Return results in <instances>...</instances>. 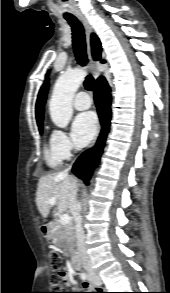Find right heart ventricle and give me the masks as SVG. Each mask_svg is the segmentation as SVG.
<instances>
[{
  "instance_id": "e07e8e85",
  "label": "right heart ventricle",
  "mask_w": 170,
  "mask_h": 293,
  "mask_svg": "<svg viewBox=\"0 0 170 293\" xmlns=\"http://www.w3.org/2000/svg\"><path fill=\"white\" fill-rule=\"evenodd\" d=\"M44 159L48 167L57 168L61 163V158L53 151L51 145H47L44 149Z\"/></svg>"
}]
</instances>
